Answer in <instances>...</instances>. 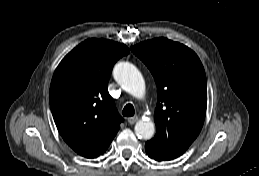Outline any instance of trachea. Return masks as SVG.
<instances>
[{
    "instance_id": "obj_1",
    "label": "trachea",
    "mask_w": 259,
    "mask_h": 176,
    "mask_svg": "<svg viewBox=\"0 0 259 176\" xmlns=\"http://www.w3.org/2000/svg\"><path fill=\"white\" fill-rule=\"evenodd\" d=\"M123 116L125 117H131L134 115V107L132 104H126L123 111H122Z\"/></svg>"
}]
</instances>
